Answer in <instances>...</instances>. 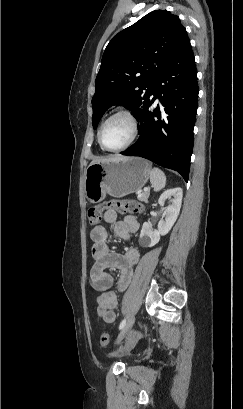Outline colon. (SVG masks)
Returning <instances> with one entry per match:
<instances>
[{
    "label": "colon",
    "instance_id": "obj_1",
    "mask_svg": "<svg viewBox=\"0 0 243 409\" xmlns=\"http://www.w3.org/2000/svg\"><path fill=\"white\" fill-rule=\"evenodd\" d=\"M107 210H116L119 214H138L143 210L142 205L134 199L110 200L90 207L87 211V218L90 225H97L102 219V214ZM100 345L107 348L109 337L103 333L100 337Z\"/></svg>",
    "mask_w": 243,
    "mask_h": 409
}]
</instances>
